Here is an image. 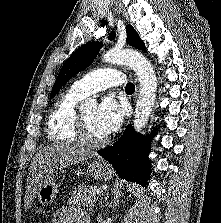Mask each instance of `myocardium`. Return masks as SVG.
Wrapping results in <instances>:
<instances>
[{
  "mask_svg": "<svg viewBox=\"0 0 221 223\" xmlns=\"http://www.w3.org/2000/svg\"><path fill=\"white\" fill-rule=\"evenodd\" d=\"M74 132L76 134L77 140L88 147H100L108 142L107 137L99 139L90 137L86 121L82 114H78L77 124L74 127Z\"/></svg>",
  "mask_w": 221,
  "mask_h": 223,
  "instance_id": "myocardium-1",
  "label": "myocardium"
}]
</instances>
